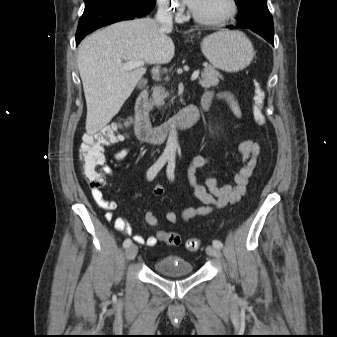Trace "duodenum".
<instances>
[{
	"label": "duodenum",
	"mask_w": 337,
	"mask_h": 337,
	"mask_svg": "<svg viewBox=\"0 0 337 337\" xmlns=\"http://www.w3.org/2000/svg\"><path fill=\"white\" fill-rule=\"evenodd\" d=\"M208 109V105L201 102L199 105H188L170 120L153 126L148 117L149 95L142 90L136 100V134L144 141L163 140L173 130L193 126Z\"/></svg>",
	"instance_id": "1"
}]
</instances>
